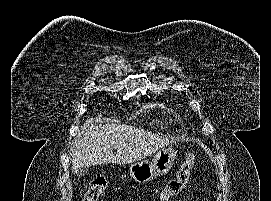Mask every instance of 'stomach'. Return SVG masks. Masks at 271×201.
I'll return each instance as SVG.
<instances>
[{
	"label": "stomach",
	"instance_id": "obj_1",
	"mask_svg": "<svg viewBox=\"0 0 271 201\" xmlns=\"http://www.w3.org/2000/svg\"><path fill=\"white\" fill-rule=\"evenodd\" d=\"M175 158L174 149L162 148L154 156L152 162L143 160L130 165V176L138 183H147L157 176L167 174L173 166Z\"/></svg>",
	"mask_w": 271,
	"mask_h": 201
}]
</instances>
